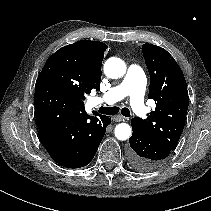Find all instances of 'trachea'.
<instances>
[{
  "instance_id": "3493384b",
  "label": "trachea",
  "mask_w": 211,
  "mask_h": 211,
  "mask_svg": "<svg viewBox=\"0 0 211 211\" xmlns=\"http://www.w3.org/2000/svg\"><path fill=\"white\" fill-rule=\"evenodd\" d=\"M119 107H100L99 108V112L101 113V114H106V115H115V114H117L118 112H119ZM121 114L123 115V116H125V117H130V111H129V109L128 108H122L121 109Z\"/></svg>"
}]
</instances>
